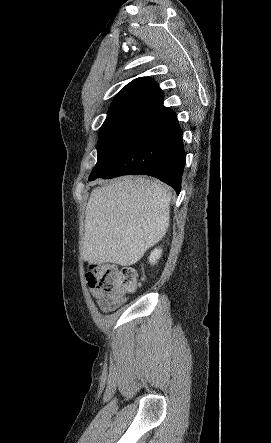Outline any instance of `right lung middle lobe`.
Returning <instances> with one entry per match:
<instances>
[{
    "mask_svg": "<svg viewBox=\"0 0 271 443\" xmlns=\"http://www.w3.org/2000/svg\"><path fill=\"white\" fill-rule=\"evenodd\" d=\"M153 107L143 102L111 104L99 135L98 160L90 175L99 173L111 161L123 139Z\"/></svg>",
    "mask_w": 271,
    "mask_h": 443,
    "instance_id": "right-lung-middle-lobe-1",
    "label": "right lung middle lobe"
}]
</instances>
